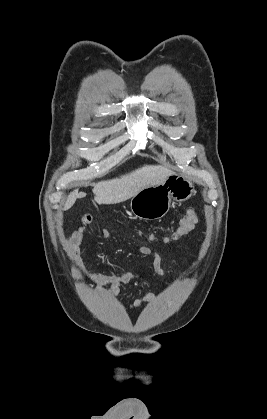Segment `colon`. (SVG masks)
I'll return each instance as SVG.
<instances>
[{
    "instance_id": "obj_1",
    "label": "colon",
    "mask_w": 267,
    "mask_h": 419,
    "mask_svg": "<svg viewBox=\"0 0 267 419\" xmlns=\"http://www.w3.org/2000/svg\"><path fill=\"white\" fill-rule=\"evenodd\" d=\"M197 214L193 210H189L187 214L179 221L177 229L170 235L163 239L165 243L176 241L186 234H188L197 222ZM140 237L146 238L149 241H154L156 237L152 234H147L144 231H138Z\"/></svg>"
}]
</instances>
